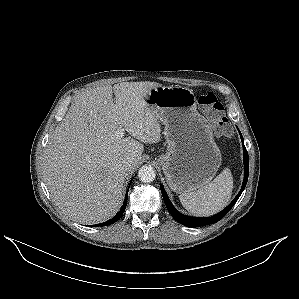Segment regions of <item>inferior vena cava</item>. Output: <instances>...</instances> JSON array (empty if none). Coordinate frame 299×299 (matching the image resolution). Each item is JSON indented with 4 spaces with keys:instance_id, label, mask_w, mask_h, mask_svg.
<instances>
[{
    "instance_id": "obj_1",
    "label": "inferior vena cava",
    "mask_w": 299,
    "mask_h": 299,
    "mask_svg": "<svg viewBox=\"0 0 299 299\" xmlns=\"http://www.w3.org/2000/svg\"><path fill=\"white\" fill-rule=\"evenodd\" d=\"M132 163L131 157L127 156L126 158L123 159L122 164L124 167H129Z\"/></svg>"
}]
</instances>
